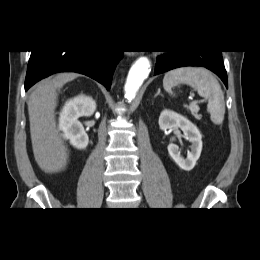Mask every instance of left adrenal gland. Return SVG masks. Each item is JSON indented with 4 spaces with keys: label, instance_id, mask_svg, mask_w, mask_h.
Masks as SVG:
<instances>
[{
    "label": "left adrenal gland",
    "instance_id": "left-adrenal-gland-1",
    "mask_svg": "<svg viewBox=\"0 0 260 260\" xmlns=\"http://www.w3.org/2000/svg\"><path fill=\"white\" fill-rule=\"evenodd\" d=\"M158 95H161V96H162L160 89H158V91H157V93L155 94L154 97L156 98Z\"/></svg>",
    "mask_w": 260,
    "mask_h": 260
}]
</instances>
